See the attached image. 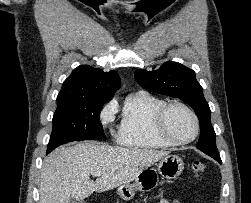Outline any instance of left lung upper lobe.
<instances>
[{"label":"left lung upper lobe","mask_w":251,"mask_h":203,"mask_svg":"<svg viewBox=\"0 0 251 203\" xmlns=\"http://www.w3.org/2000/svg\"><path fill=\"white\" fill-rule=\"evenodd\" d=\"M135 79L147 90L179 98L189 104L200 122L201 133L197 148L212 158L220 157L216 147V134L210 121L211 111L192 69L168 61L155 71H136Z\"/></svg>","instance_id":"obj_1"}]
</instances>
